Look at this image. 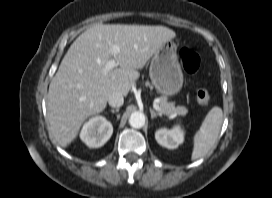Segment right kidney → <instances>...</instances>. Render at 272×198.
I'll use <instances>...</instances> for the list:
<instances>
[{"label":"right kidney","instance_id":"obj_1","mask_svg":"<svg viewBox=\"0 0 272 198\" xmlns=\"http://www.w3.org/2000/svg\"><path fill=\"white\" fill-rule=\"evenodd\" d=\"M113 126L103 116H96L86 122L81 130V140L91 148L103 146L112 136Z\"/></svg>","mask_w":272,"mask_h":198}]
</instances>
